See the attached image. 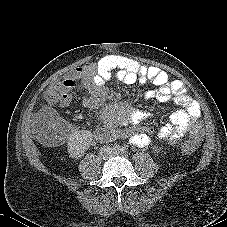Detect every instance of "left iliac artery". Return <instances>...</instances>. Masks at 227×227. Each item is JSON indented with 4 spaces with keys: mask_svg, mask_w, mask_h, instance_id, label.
Returning a JSON list of instances; mask_svg holds the SVG:
<instances>
[{
    "mask_svg": "<svg viewBox=\"0 0 227 227\" xmlns=\"http://www.w3.org/2000/svg\"><path fill=\"white\" fill-rule=\"evenodd\" d=\"M120 151H121L122 153H127V152H128V150H127V148H126V147H122V148H120Z\"/></svg>",
    "mask_w": 227,
    "mask_h": 227,
    "instance_id": "44dca946",
    "label": "left iliac artery"
}]
</instances>
